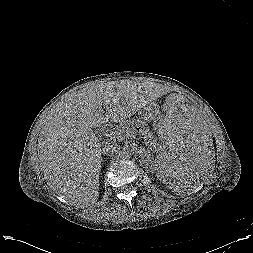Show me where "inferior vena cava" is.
Masks as SVG:
<instances>
[{
    "instance_id": "1",
    "label": "inferior vena cava",
    "mask_w": 253,
    "mask_h": 253,
    "mask_svg": "<svg viewBox=\"0 0 253 253\" xmlns=\"http://www.w3.org/2000/svg\"><path fill=\"white\" fill-rule=\"evenodd\" d=\"M116 143L114 142H109V143H106L104 145V148H103V153L104 154H108V155H111L113 154L114 152L117 151V147H116Z\"/></svg>"
}]
</instances>
